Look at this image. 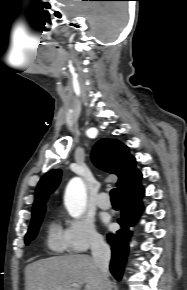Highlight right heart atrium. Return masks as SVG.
I'll return each instance as SVG.
<instances>
[{
	"label": "right heart atrium",
	"instance_id": "obj_1",
	"mask_svg": "<svg viewBox=\"0 0 187 290\" xmlns=\"http://www.w3.org/2000/svg\"><path fill=\"white\" fill-rule=\"evenodd\" d=\"M64 233L67 248L72 253L86 252L90 248L101 245L103 242L93 221L83 216L68 219Z\"/></svg>",
	"mask_w": 187,
	"mask_h": 290
}]
</instances>
